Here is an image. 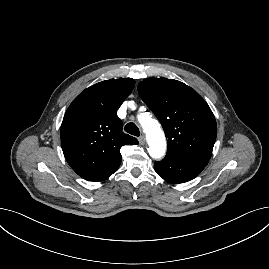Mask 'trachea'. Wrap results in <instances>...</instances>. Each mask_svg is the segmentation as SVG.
Wrapping results in <instances>:
<instances>
[{
    "label": "trachea",
    "mask_w": 269,
    "mask_h": 269,
    "mask_svg": "<svg viewBox=\"0 0 269 269\" xmlns=\"http://www.w3.org/2000/svg\"><path fill=\"white\" fill-rule=\"evenodd\" d=\"M124 130L131 134V135H134V136H139L140 135V131H139V128L137 127L136 124L134 123H128L125 127H124Z\"/></svg>",
    "instance_id": "3493384b"
}]
</instances>
